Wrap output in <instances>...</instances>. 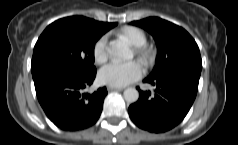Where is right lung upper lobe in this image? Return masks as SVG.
Instances as JSON below:
<instances>
[{"label": "right lung upper lobe", "mask_w": 238, "mask_h": 145, "mask_svg": "<svg viewBox=\"0 0 238 145\" xmlns=\"http://www.w3.org/2000/svg\"><path fill=\"white\" fill-rule=\"evenodd\" d=\"M95 22L105 32H107L108 30H110L111 28H113V27H115L117 25V23H104V22H98V21H95Z\"/></svg>", "instance_id": "cb5924a9"}]
</instances>
